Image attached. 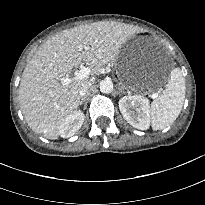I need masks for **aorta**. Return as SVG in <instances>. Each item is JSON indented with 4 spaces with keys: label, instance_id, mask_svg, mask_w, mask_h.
<instances>
[{
    "label": "aorta",
    "instance_id": "1",
    "mask_svg": "<svg viewBox=\"0 0 205 205\" xmlns=\"http://www.w3.org/2000/svg\"><path fill=\"white\" fill-rule=\"evenodd\" d=\"M99 88L102 93L109 94L113 91V83L110 79H104L99 83Z\"/></svg>",
    "mask_w": 205,
    "mask_h": 205
}]
</instances>
